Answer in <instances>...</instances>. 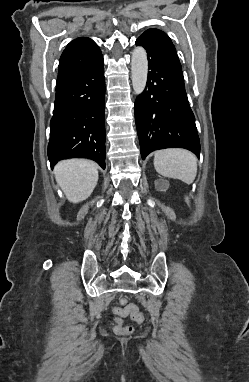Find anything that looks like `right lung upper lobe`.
I'll list each match as a JSON object with an SVG mask.
<instances>
[{
    "label": "right lung upper lobe",
    "instance_id": "obj_1",
    "mask_svg": "<svg viewBox=\"0 0 249 382\" xmlns=\"http://www.w3.org/2000/svg\"><path fill=\"white\" fill-rule=\"evenodd\" d=\"M100 53L98 45L87 37L71 41L60 57L56 88L64 85L94 63Z\"/></svg>",
    "mask_w": 249,
    "mask_h": 382
}]
</instances>
